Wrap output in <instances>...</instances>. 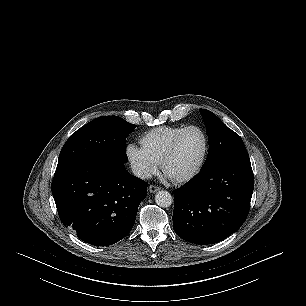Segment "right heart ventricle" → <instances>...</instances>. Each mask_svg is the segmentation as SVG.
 <instances>
[{
  "instance_id": "obj_1",
  "label": "right heart ventricle",
  "mask_w": 306,
  "mask_h": 306,
  "mask_svg": "<svg viewBox=\"0 0 306 306\" xmlns=\"http://www.w3.org/2000/svg\"><path fill=\"white\" fill-rule=\"evenodd\" d=\"M184 126H160L144 133L140 138L142 147L160 163L171 142Z\"/></svg>"
}]
</instances>
